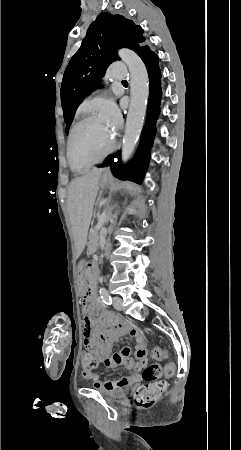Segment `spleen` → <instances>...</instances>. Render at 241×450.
<instances>
[{
	"mask_svg": "<svg viewBox=\"0 0 241 450\" xmlns=\"http://www.w3.org/2000/svg\"><path fill=\"white\" fill-rule=\"evenodd\" d=\"M126 186H127L128 190H131L132 184H126Z\"/></svg>",
	"mask_w": 241,
	"mask_h": 450,
	"instance_id": "obj_1",
	"label": "spleen"
}]
</instances>
